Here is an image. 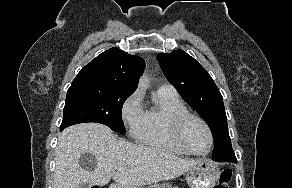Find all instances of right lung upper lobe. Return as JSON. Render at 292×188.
I'll use <instances>...</instances> for the list:
<instances>
[{"mask_svg":"<svg viewBox=\"0 0 292 188\" xmlns=\"http://www.w3.org/2000/svg\"><path fill=\"white\" fill-rule=\"evenodd\" d=\"M144 67L141 57L114 47L83 67L72 83H99L134 92Z\"/></svg>","mask_w":292,"mask_h":188,"instance_id":"right-lung-upper-lobe-1","label":"right lung upper lobe"}]
</instances>
